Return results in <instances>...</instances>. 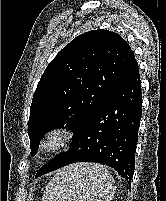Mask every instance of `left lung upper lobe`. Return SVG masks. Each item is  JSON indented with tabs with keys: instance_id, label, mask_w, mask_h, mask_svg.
Listing matches in <instances>:
<instances>
[{
	"instance_id": "obj_1",
	"label": "left lung upper lobe",
	"mask_w": 166,
	"mask_h": 201,
	"mask_svg": "<svg viewBox=\"0 0 166 201\" xmlns=\"http://www.w3.org/2000/svg\"><path fill=\"white\" fill-rule=\"evenodd\" d=\"M134 60L127 42L108 30L86 32L65 46L45 69L33 95L28 121L31 155L52 129L76 132Z\"/></svg>"
}]
</instances>
